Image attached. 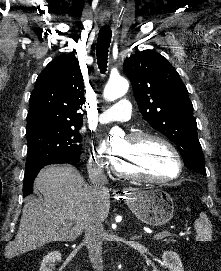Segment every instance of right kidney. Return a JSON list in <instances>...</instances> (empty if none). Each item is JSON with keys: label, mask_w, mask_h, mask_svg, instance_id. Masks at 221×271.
I'll use <instances>...</instances> for the list:
<instances>
[{"label": "right kidney", "mask_w": 221, "mask_h": 271, "mask_svg": "<svg viewBox=\"0 0 221 271\" xmlns=\"http://www.w3.org/2000/svg\"><path fill=\"white\" fill-rule=\"evenodd\" d=\"M62 255L60 251H50L47 255H44L39 271H54L58 261H61Z\"/></svg>", "instance_id": "ca27d5eb"}]
</instances>
